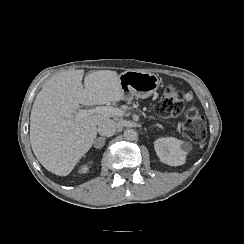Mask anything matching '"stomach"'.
<instances>
[{"label": "stomach", "mask_w": 244, "mask_h": 244, "mask_svg": "<svg viewBox=\"0 0 244 244\" xmlns=\"http://www.w3.org/2000/svg\"><path fill=\"white\" fill-rule=\"evenodd\" d=\"M119 79L127 99H131L133 96L148 98L160 86L159 76L147 71L129 69L123 72Z\"/></svg>", "instance_id": "obj_1"}]
</instances>
